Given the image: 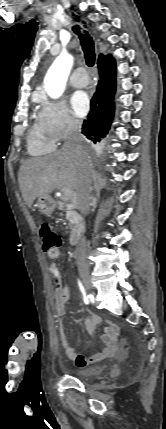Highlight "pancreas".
Instances as JSON below:
<instances>
[{
    "instance_id": "pancreas-1",
    "label": "pancreas",
    "mask_w": 166,
    "mask_h": 429,
    "mask_svg": "<svg viewBox=\"0 0 166 429\" xmlns=\"http://www.w3.org/2000/svg\"><path fill=\"white\" fill-rule=\"evenodd\" d=\"M75 216H76L75 211L72 208H67L66 219L69 221V225L72 230H74L76 226Z\"/></svg>"
}]
</instances>
